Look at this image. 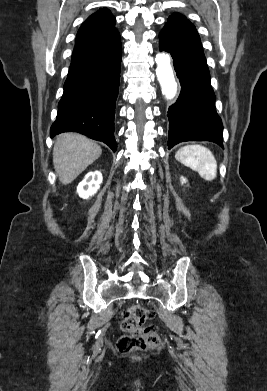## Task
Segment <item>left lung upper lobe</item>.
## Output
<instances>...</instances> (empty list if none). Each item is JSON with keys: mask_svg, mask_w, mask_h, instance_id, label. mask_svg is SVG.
<instances>
[{"mask_svg": "<svg viewBox=\"0 0 267 391\" xmlns=\"http://www.w3.org/2000/svg\"><path fill=\"white\" fill-rule=\"evenodd\" d=\"M165 26L173 27L177 30L185 32L195 38H199L195 26L187 20L183 15L179 13H173L169 18Z\"/></svg>", "mask_w": 267, "mask_h": 391, "instance_id": "5c2ea615", "label": "left lung upper lobe"}]
</instances>
